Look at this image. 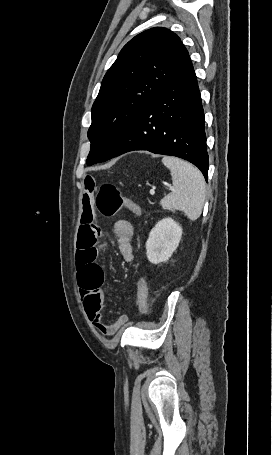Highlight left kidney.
<instances>
[{"instance_id":"obj_1","label":"left kidney","mask_w":272,"mask_h":455,"mask_svg":"<svg viewBox=\"0 0 272 455\" xmlns=\"http://www.w3.org/2000/svg\"><path fill=\"white\" fill-rule=\"evenodd\" d=\"M182 237V228L172 218L160 220L150 231L146 242V254L153 264L166 262L177 249Z\"/></svg>"}]
</instances>
